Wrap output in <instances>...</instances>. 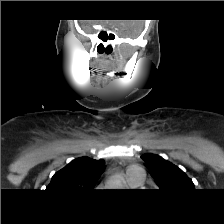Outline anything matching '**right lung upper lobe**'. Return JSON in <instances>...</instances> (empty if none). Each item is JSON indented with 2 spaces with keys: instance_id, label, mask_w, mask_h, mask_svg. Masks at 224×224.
<instances>
[{
  "instance_id": "1",
  "label": "right lung upper lobe",
  "mask_w": 224,
  "mask_h": 224,
  "mask_svg": "<svg viewBox=\"0 0 224 224\" xmlns=\"http://www.w3.org/2000/svg\"><path fill=\"white\" fill-rule=\"evenodd\" d=\"M105 161L80 157L56 172L47 188L58 192L88 191L103 173Z\"/></svg>"
}]
</instances>
